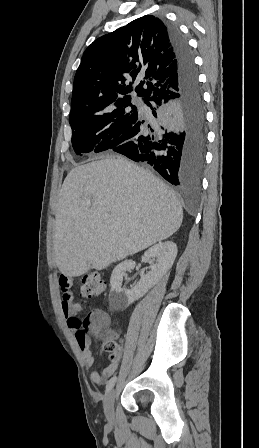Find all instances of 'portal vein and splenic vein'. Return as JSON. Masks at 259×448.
Returning <instances> with one entry per match:
<instances>
[{
  "mask_svg": "<svg viewBox=\"0 0 259 448\" xmlns=\"http://www.w3.org/2000/svg\"><path fill=\"white\" fill-rule=\"evenodd\" d=\"M102 218H104V220H108V218H110V214H103Z\"/></svg>",
  "mask_w": 259,
  "mask_h": 448,
  "instance_id": "1",
  "label": "portal vein and splenic vein"
}]
</instances>
